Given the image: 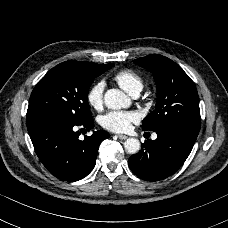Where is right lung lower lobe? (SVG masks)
Wrapping results in <instances>:
<instances>
[{"instance_id":"obj_1","label":"right lung lower lobe","mask_w":228,"mask_h":228,"mask_svg":"<svg viewBox=\"0 0 228 228\" xmlns=\"http://www.w3.org/2000/svg\"><path fill=\"white\" fill-rule=\"evenodd\" d=\"M94 128L93 119L85 123L47 116L27 122L34 149L42 164L58 179L77 181L94 168L100 143L110 137L103 130L79 139L76 127Z\"/></svg>"}]
</instances>
